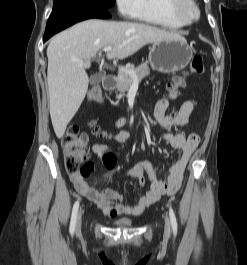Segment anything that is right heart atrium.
Listing matches in <instances>:
<instances>
[{
	"label": "right heart atrium",
	"instance_id": "obj_1",
	"mask_svg": "<svg viewBox=\"0 0 247 265\" xmlns=\"http://www.w3.org/2000/svg\"><path fill=\"white\" fill-rule=\"evenodd\" d=\"M139 0H116L119 12L128 18L135 16L138 10Z\"/></svg>",
	"mask_w": 247,
	"mask_h": 265
}]
</instances>
